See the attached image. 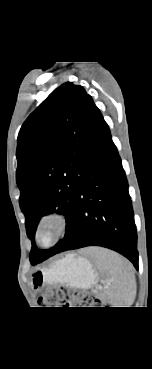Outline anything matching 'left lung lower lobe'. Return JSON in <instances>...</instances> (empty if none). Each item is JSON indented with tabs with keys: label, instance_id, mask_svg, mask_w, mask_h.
<instances>
[{
	"label": "left lung lower lobe",
	"instance_id": "1",
	"mask_svg": "<svg viewBox=\"0 0 152 369\" xmlns=\"http://www.w3.org/2000/svg\"><path fill=\"white\" fill-rule=\"evenodd\" d=\"M76 217L55 254L86 246L119 252L138 269L137 233L128 182L111 133L100 114L83 159Z\"/></svg>",
	"mask_w": 152,
	"mask_h": 369
}]
</instances>
